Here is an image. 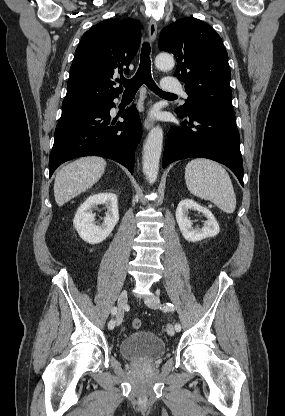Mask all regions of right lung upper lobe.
Returning a JSON list of instances; mask_svg holds the SVG:
<instances>
[{
  "label": "right lung upper lobe",
  "mask_w": 285,
  "mask_h": 416,
  "mask_svg": "<svg viewBox=\"0 0 285 416\" xmlns=\"http://www.w3.org/2000/svg\"><path fill=\"white\" fill-rule=\"evenodd\" d=\"M141 24L129 19H107L85 32L70 68L63 104L110 103L122 92L113 76L128 74L141 41Z\"/></svg>",
  "instance_id": "right-lung-upper-lobe-1"
}]
</instances>
